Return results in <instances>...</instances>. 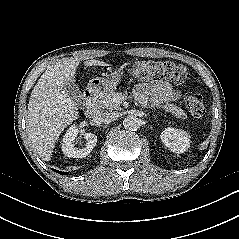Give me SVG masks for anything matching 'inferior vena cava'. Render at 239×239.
I'll use <instances>...</instances> for the list:
<instances>
[{
  "mask_svg": "<svg viewBox=\"0 0 239 239\" xmlns=\"http://www.w3.org/2000/svg\"><path fill=\"white\" fill-rule=\"evenodd\" d=\"M117 118L116 113L109 112V113H103L98 116V121L101 123L109 124L113 121H115Z\"/></svg>",
  "mask_w": 239,
  "mask_h": 239,
  "instance_id": "1",
  "label": "inferior vena cava"
}]
</instances>
